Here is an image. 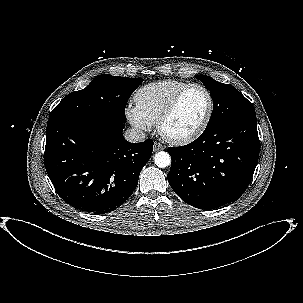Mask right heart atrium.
<instances>
[{
  "label": "right heart atrium",
  "mask_w": 303,
  "mask_h": 303,
  "mask_svg": "<svg viewBox=\"0 0 303 303\" xmlns=\"http://www.w3.org/2000/svg\"><path fill=\"white\" fill-rule=\"evenodd\" d=\"M125 116L129 123L138 132H147L152 127V123L146 117H144V115L139 111L136 105H127L125 108Z\"/></svg>",
  "instance_id": "obj_1"
}]
</instances>
